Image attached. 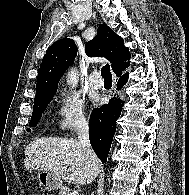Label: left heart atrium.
<instances>
[{
    "mask_svg": "<svg viewBox=\"0 0 189 195\" xmlns=\"http://www.w3.org/2000/svg\"><path fill=\"white\" fill-rule=\"evenodd\" d=\"M98 100H99V98H98L97 96H95V97H94V101L97 102Z\"/></svg>",
    "mask_w": 189,
    "mask_h": 195,
    "instance_id": "obj_1",
    "label": "left heart atrium"
}]
</instances>
